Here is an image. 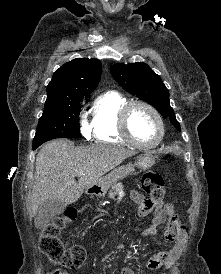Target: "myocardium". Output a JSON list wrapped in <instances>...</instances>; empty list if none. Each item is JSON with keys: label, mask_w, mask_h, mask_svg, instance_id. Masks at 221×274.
I'll list each match as a JSON object with an SVG mask.
<instances>
[{"label": "myocardium", "mask_w": 221, "mask_h": 274, "mask_svg": "<svg viewBox=\"0 0 221 274\" xmlns=\"http://www.w3.org/2000/svg\"><path fill=\"white\" fill-rule=\"evenodd\" d=\"M144 107L147 110H149L154 117L157 120L158 126H159V135L157 140L152 143V144H143L139 141H137L131 131H130V126H129V118H130V114L131 111L137 107ZM119 128H120V132L123 135V137L133 146L140 148V149H153L155 147H157L161 141L163 140L164 134H165V126H164V122L163 119L159 113V111L150 103L146 102V101H142V100H134V101H129L120 111V115H119Z\"/></svg>", "instance_id": "f54148a6"}]
</instances>
